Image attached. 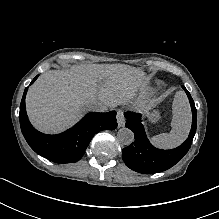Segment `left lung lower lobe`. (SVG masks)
Masks as SVG:
<instances>
[{
    "instance_id": "left-lung-lower-lobe-1",
    "label": "left lung lower lobe",
    "mask_w": 219,
    "mask_h": 219,
    "mask_svg": "<svg viewBox=\"0 0 219 219\" xmlns=\"http://www.w3.org/2000/svg\"><path fill=\"white\" fill-rule=\"evenodd\" d=\"M182 88L190 101L192 126L189 137L175 149L161 150L155 148L146 137L140 114L124 113L127 119L125 126L135 134V141L122 150V158L130 169L142 174L162 172L174 166L190 149L197 127V111L190 93L184 86Z\"/></svg>"
}]
</instances>
